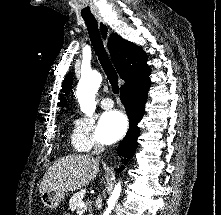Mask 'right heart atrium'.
Wrapping results in <instances>:
<instances>
[{
    "label": "right heart atrium",
    "instance_id": "right-heart-atrium-1",
    "mask_svg": "<svg viewBox=\"0 0 221 215\" xmlns=\"http://www.w3.org/2000/svg\"><path fill=\"white\" fill-rule=\"evenodd\" d=\"M103 143L92 117L81 115L74 120L72 145L80 152H88Z\"/></svg>",
    "mask_w": 221,
    "mask_h": 215
}]
</instances>
